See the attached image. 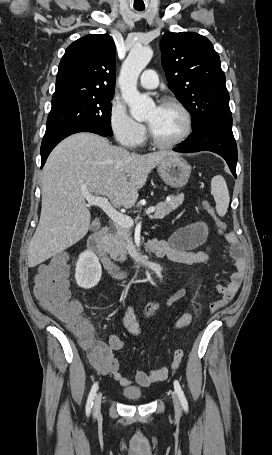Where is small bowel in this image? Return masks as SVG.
Returning a JSON list of instances; mask_svg holds the SVG:
<instances>
[{
  "label": "small bowel",
  "mask_w": 272,
  "mask_h": 455,
  "mask_svg": "<svg viewBox=\"0 0 272 455\" xmlns=\"http://www.w3.org/2000/svg\"><path fill=\"white\" fill-rule=\"evenodd\" d=\"M208 226L204 222H195L187 225L174 232L168 240H150L152 245V253L160 258H168L171 261L186 265H194L205 263L209 259L210 248L205 250H197L204 245L208 239ZM226 240L229 244V253L235 263V271L230 276V281L227 284H218L217 292L220 294V299L211 303L210 309L215 312L227 305L235 296L242 283L245 270L246 260L243 255L241 246L236 235L229 232L226 235ZM186 295L184 288L178 289L168 295L164 300H151L145 309L146 317L152 316L162 304L172 306ZM192 315L190 313L183 314L176 323L178 328H183L191 323ZM123 325L132 335L139 333V325L135 319V315L131 308H127L123 316ZM106 351L105 360L101 364H96L97 369L102 374H112L114 379L121 386L132 384L119 369V363L113 355V351L121 350L124 347L123 341L115 334H111L108 338V344L103 345ZM183 358V351L176 350L171 364V368L176 370ZM168 370L162 367L158 370L144 372L138 371L135 381L141 386H149L153 383L163 381L167 378Z\"/></svg>",
  "instance_id": "1"
}]
</instances>
